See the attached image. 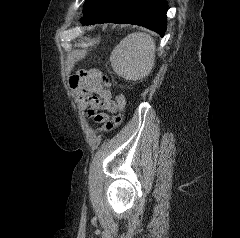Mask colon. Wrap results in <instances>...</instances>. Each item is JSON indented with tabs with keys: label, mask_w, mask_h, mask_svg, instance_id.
I'll list each match as a JSON object with an SVG mask.
<instances>
[{
	"label": "colon",
	"mask_w": 240,
	"mask_h": 238,
	"mask_svg": "<svg viewBox=\"0 0 240 238\" xmlns=\"http://www.w3.org/2000/svg\"><path fill=\"white\" fill-rule=\"evenodd\" d=\"M100 80L106 86H109V79L106 76L100 75ZM116 103L118 104L120 113L110 120H105V125L103 128L100 129V131H111L121 123L125 110V97L123 94L119 93L116 95Z\"/></svg>",
	"instance_id": "1"
}]
</instances>
